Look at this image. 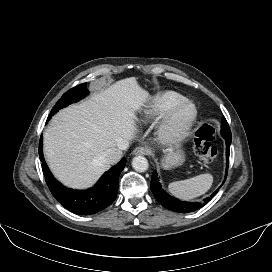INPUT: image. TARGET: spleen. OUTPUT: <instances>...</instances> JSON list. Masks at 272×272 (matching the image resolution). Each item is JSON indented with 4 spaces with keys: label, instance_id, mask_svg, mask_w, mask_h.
<instances>
[{
    "label": "spleen",
    "instance_id": "spleen-1",
    "mask_svg": "<svg viewBox=\"0 0 272 272\" xmlns=\"http://www.w3.org/2000/svg\"><path fill=\"white\" fill-rule=\"evenodd\" d=\"M212 183L213 176L205 173L186 180L172 182L168 188L175 197L182 200H191L205 194L211 188Z\"/></svg>",
    "mask_w": 272,
    "mask_h": 272
}]
</instances>
